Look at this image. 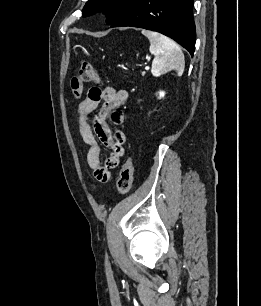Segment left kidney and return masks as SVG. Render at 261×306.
Wrapping results in <instances>:
<instances>
[{"instance_id": "left-kidney-1", "label": "left kidney", "mask_w": 261, "mask_h": 306, "mask_svg": "<svg viewBox=\"0 0 261 306\" xmlns=\"http://www.w3.org/2000/svg\"><path fill=\"white\" fill-rule=\"evenodd\" d=\"M164 95H165V93H164L163 91H160V92H159V98L164 97Z\"/></svg>"}]
</instances>
